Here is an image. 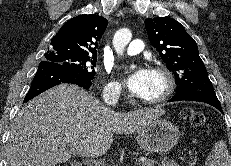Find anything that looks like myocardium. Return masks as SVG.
<instances>
[{"label": "myocardium", "instance_id": "1", "mask_svg": "<svg viewBox=\"0 0 231 166\" xmlns=\"http://www.w3.org/2000/svg\"><path fill=\"white\" fill-rule=\"evenodd\" d=\"M152 72L161 76L164 87L158 96L151 99L141 98V102L147 105H158L165 102L172 95L175 87V79L172 72L164 65H155L152 68Z\"/></svg>", "mask_w": 231, "mask_h": 166}]
</instances>
